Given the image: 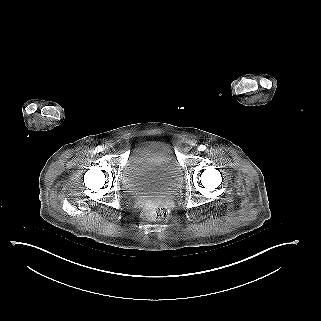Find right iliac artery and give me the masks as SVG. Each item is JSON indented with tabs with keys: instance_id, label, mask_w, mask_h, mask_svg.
<instances>
[{
	"instance_id": "obj_1",
	"label": "right iliac artery",
	"mask_w": 321,
	"mask_h": 321,
	"mask_svg": "<svg viewBox=\"0 0 321 321\" xmlns=\"http://www.w3.org/2000/svg\"><path fill=\"white\" fill-rule=\"evenodd\" d=\"M102 150H103V148L101 146H97L95 149L96 152H101Z\"/></svg>"
}]
</instances>
